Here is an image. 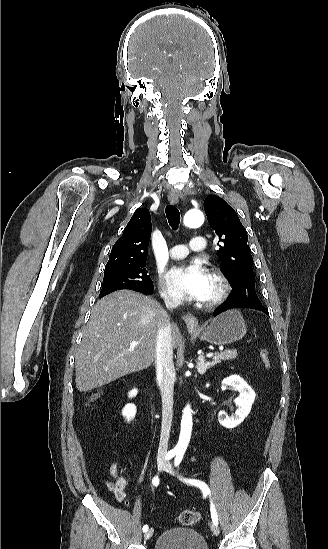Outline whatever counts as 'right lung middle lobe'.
Wrapping results in <instances>:
<instances>
[{
    "label": "right lung middle lobe",
    "mask_w": 328,
    "mask_h": 549,
    "mask_svg": "<svg viewBox=\"0 0 328 549\" xmlns=\"http://www.w3.org/2000/svg\"><path fill=\"white\" fill-rule=\"evenodd\" d=\"M146 262L124 266L104 272V279L100 296L121 289H130L144 294L153 291L154 286L147 274Z\"/></svg>",
    "instance_id": "1"
}]
</instances>
